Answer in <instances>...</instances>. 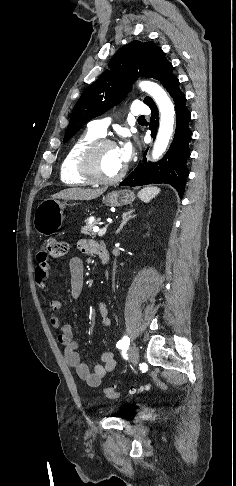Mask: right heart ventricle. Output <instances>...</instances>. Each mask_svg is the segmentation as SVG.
Listing matches in <instances>:
<instances>
[{
	"label": "right heart ventricle",
	"mask_w": 236,
	"mask_h": 486,
	"mask_svg": "<svg viewBox=\"0 0 236 486\" xmlns=\"http://www.w3.org/2000/svg\"><path fill=\"white\" fill-rule=\"evenodd\" d=\"M98 138H100V135L88 129L73 141L60 167V177L64 184L70 186H84L91 184V182L80 174L78 161L83 149Z\"/></svg>",
	"instance_id": "e07e8e85"
}]
</instances>
